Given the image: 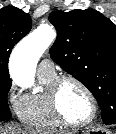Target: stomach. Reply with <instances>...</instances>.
<instances>
[{
  "label": "stomach",
  "mask_w": 116,
  "mask_h": 134,
  "mask_svg": "<svg viewBox=\"0 0 116 134\" xmlns=\"http://www.w3.org/2000/svg\"><path fill=\"white\" fill-rule=\"evenodd\" d=\"M87 134H112V133L102 128H92L88 131Z\"/></svg>",
  "instance_id": "0dacf381"
}]
</instances>
